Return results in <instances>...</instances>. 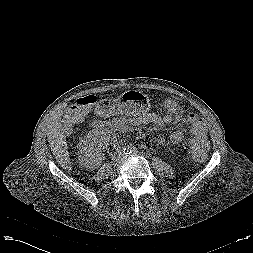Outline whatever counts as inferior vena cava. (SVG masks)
Masks as SVG:
<instances>
[{
    "mask_svg": "<svg viewBox=\"0 0 253 253\" xmlns=\"http://www.w3.org/2000/svg\"><path fill=\"white\" fill-rule=\"evenodd\" d=\"M123 156V154L121 153V152H116V153H114V156H113V159L114 160H119L121 157Z\"/></svg>",
    "mask_w": 253,
    "mask_h": 253,
    "instance_id": "inferior-vena-cava-1",
    "label": "inferior vena cava"
}]
</instances>
